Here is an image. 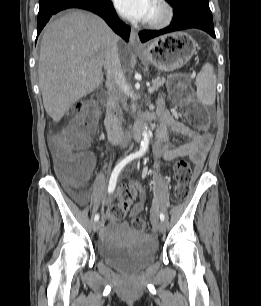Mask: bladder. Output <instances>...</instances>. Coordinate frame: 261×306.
Returning a JSON list of instances; mask_svg holds the SVG:
<instances>
[{"instance_id":"obj_1","label":"bladder","mask_w":261,"mask_h":306,"mask_svg":"<svg viewBox=\"0 0 261 306\" xmlns=\"http://www.w3.org/2000/svg\"><path fill=\"white\" fill-rule=\"evenodd\" d=\"M157 244L149 239H138L130 245L122 243L121 236L99 247L100 259L108 266L125 273L144 269L155 260Z\"/></svg>"}]
</instances>
